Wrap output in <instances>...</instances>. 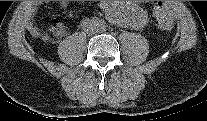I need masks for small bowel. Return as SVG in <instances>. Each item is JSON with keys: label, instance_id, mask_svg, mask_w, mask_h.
<instances>
[{"label": "small bowel", "instance_id": "1", "mask_svg": "<svg viewBox=\"0 0 207 121\" xmlns=\"http://www.w3.org/2000/svg\"><path fill=\"white\" fill-rule=\"evenodd\" d=\"M61 6H66L67 2H60ZM101 8L105 12L107 18L118 24L129 25L132 27H143L146 23V16L139 6L135 3H126L124 8L109 2L102 1L100 3ZM65 31V27L61 24H58L55 27L56 34H62Z\"/></svg>", "mask_w": 207, "mask_h": 121}]
</instances>
